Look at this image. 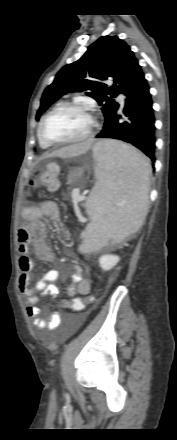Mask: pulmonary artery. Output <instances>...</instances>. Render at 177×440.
<instances>
[{
	"mask_svg": "<svg viewBox=\"0 0 177 440\" xmlns=\"http://www.w3.org/2000/svg\"><path fill=\"white\" fill-rule=\"evenodd\" d=\"M118 102L123 105L124 104V97L122 95L118 96Z\"/></svg>",
	"mask_w": 177,
	"mask_h": 440,
	"instance_id": "e3ab8cb5",
	"label": "pulmonary artery"
}]
</instances>
